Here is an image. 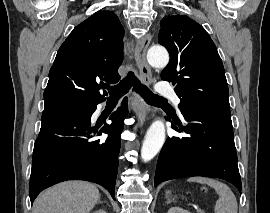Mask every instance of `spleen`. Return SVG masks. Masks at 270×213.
<instances>
[{"instance_id": "spleen-1", "label": "spleen", "mask_w": 270, "mask_h": 213, "mask_svg": "<svg viewBox=\"0 0 270 213\" xmlns=\"http://www.w3.org/2000/svg\"><path fill=\"white\" fill-rule=\"evenodd\" d=\"M187 181L207 184L215 189L216 193L219 195L214 206L215 213H237L238 206L236 197L226 184L206 177H191Z\"/></svg>"}]
</instances>
